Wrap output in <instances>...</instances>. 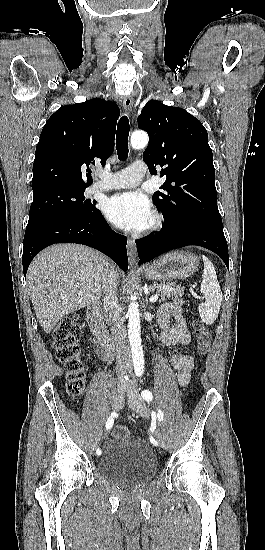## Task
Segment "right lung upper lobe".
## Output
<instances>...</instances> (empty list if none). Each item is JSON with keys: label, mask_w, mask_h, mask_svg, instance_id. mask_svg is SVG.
Instances as JSON below:
<instances>
[{"label": "right lung upper lobe", "mask_w": 265, "mask_h": 550, "mask_svg": "<svg viewBox=\"0 0 265 550\" xmlns=\"http://www.w3.org/2000/svg\"><path fill=\"white\" fill-rule=\"evenodd\" d=\"M119 107L101 98L62 106L46 122L36 147L32 189L59 185L86 189L93 180L85 167L106 159L114 149Z\"/></svg>", "instance_id": "right-lung-upper-lobe-1"}]
</instances>
